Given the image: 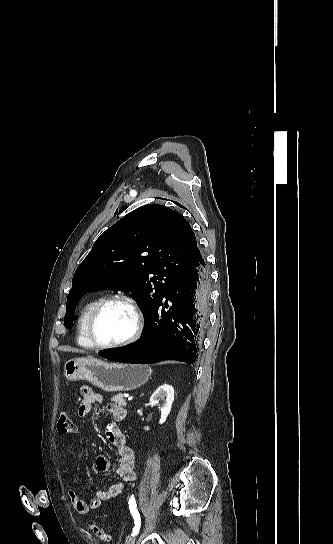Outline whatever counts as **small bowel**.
Segmentation results:
<instances>
[{"mask_svg": "<svg viewBox=\"0 0 333 544\" xmlns=\"http://www.w3.org/2000/svg\"><path fill=\"white\" fill-rule=\"evenodd\" d=\"M80 396L81 399L78 406V415L80 417L87 416L91 412L94 403L102 402V397L87 386L80 388ZM106 408L116 422L122 421L126 416V410L124 407L117 403H107ZM106 438L109 443L116 447L119 455L118 466L116 468L117 474L125 482L135 481V455L133 450L126 444V437L116 423H111L107 426ZM96 467L98 471L102 473L112 471V464L110 460L103 455L97 457ZM123 489V484L114 483L109 485L104 490L97 491L95 496L90 498L89 501H85L79 497L75 489L69 488L68 496L74 510L78 514L85 515L90 510L97 509L101 505L102 501L110 500L119 496Z\"/></svg>", "mask_w": 333, "mask_h": 544, "instance_id": "obj_1", "label": "small bowel"}]
</instances>
